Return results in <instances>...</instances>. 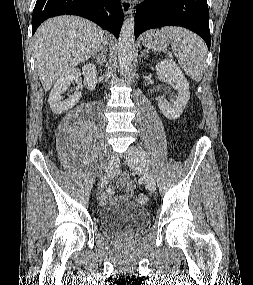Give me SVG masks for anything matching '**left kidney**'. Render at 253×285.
I'll list each match as a JSON object with an SVG mask.
<instances>
[{"label":"left kidney","instance_id":"left-kidney-1","mask_svg":"<svg viewBox=\"0 0 253 285\" xmlns=\"http://www.w3.org/2000/svg\"><path fill=\"white\" fill-rule=\"evenodd\" d=\"M156 71L166 81L176 83L178 95L172 103L161 97H158L157 100L159 109L166 118L170 120L177 119L182 114L190 98L189 83L180 68L172 60H164L158 63Z\"/></svg>","mask_w":253,"mask_h":285}]
</instances>
